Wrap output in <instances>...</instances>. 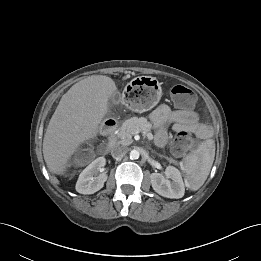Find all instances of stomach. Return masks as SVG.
Segmentation results:
<instances>
[{"instance_id": "stomach-1", "label": "stomach", "mask_w": 261, "mask_h": 261, "mask_svg": "<svg viewBox=\"0 0 261 261\" xmlns=\"http://www.w3.org/2000/svg\"><path fill=\"white\" fill-rule=\"evenodd\" d=\"M162 89L153 77H137L125 87L122 100L124 105L137 113L152 109L160 100Z\"/></svg>"}]
</instances>
